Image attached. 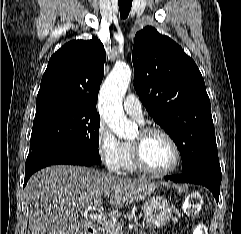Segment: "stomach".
Returning a JSON list of instances; mask_svg holds the SVG:
<instances>
[{
  "label": "stomach",
  "mask_w": 241,
  "mask_h": 234,
  "mask_svg": "<svg viewBox=\"0 0 241 234\" xmlns=\"http://www.w3.org/2000/svg\"><path fill=\"white\" fill-rule=\"evenodd\" d=\"M144 217L149 226L158 228L165 225L173 214V206L162 196H152L142 206Z\"/></svg>",
  "instance_id": "1"
}]
</instances>
